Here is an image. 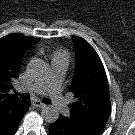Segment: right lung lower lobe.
Segmentation results:
<instances>
[{"label":"right lung lower lobe","mask_w":135,"mask_h":135,"mask_svg":"<svg viewBox=\"0 0 135 135\" xmlns=\"http://www.w3.org/2000/svg\"><path fill=\"white\" fill-rule=\"evenodd\" d=\"M30 104L29 101H24L12 114H7V108L0 110V135H14Z\"/></svg>","instance_id":"right-lung-lower-lobe-1"}]
</instances>
